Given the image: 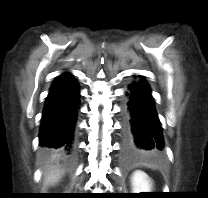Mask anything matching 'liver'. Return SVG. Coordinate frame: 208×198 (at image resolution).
<instances>
[{
  "mask_svg": "<svg viewBox=\"0 0 208 198\" xmlns=\"http://www.w3.org/2000/svg\"><path fill=\"white\" fill-rule=\"evenodd\" d=\"M60 177L61 175L59 170L57 169L51 170L47 173L46 182L50 185H54L59 181Z\"/></svg>",
  "mask_w": 208,
  "mask_h": 198,
  "instance_id": "obj_1",
  "label": "liver"
}]
</instances>
